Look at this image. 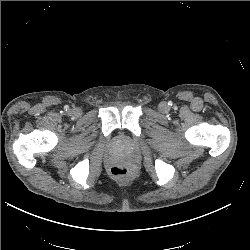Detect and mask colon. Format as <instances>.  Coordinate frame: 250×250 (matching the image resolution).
I'll return each mask as SVG.
<instances>
[{"label":"colon","instance_id":"colon-1","mask_svg":"<svg viewBox=\"0 0 250 250\" xmlns=\"http://www.w3.org/2000/svg\"><path fill=\"white\" fill-rule=\"evenodd\" d=\"M110 175L116 179H123L131 175V170L123 166H114L110 170Z\"/></svg>","mask_w":250,"mask_h":250}]
</instances>
